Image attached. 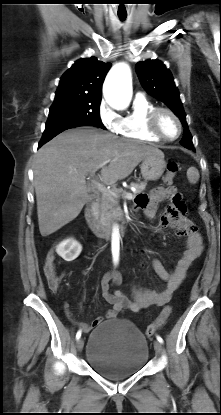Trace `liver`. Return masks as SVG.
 <instances>
[{
	"mask_svg": "<svg viewBox=\"0 0 221 415\" xmlns=\"http://www.w3.org/2000/svg\"><path fill=\"white\" fill-rule=\"evenodd\" d=\"M163 154L157 147L121 139L93 127L65 131L39 149L34 186L39 230L46 237L74 220L89 200L85 177L100 164L107 185L128 177L146 157ZM164 155V154H163Z\"/></svg>",
	"mask_w": 221,
	"mask_h": 415,
	"instance_id": "1",
	"label": "liver"
}]
</instances>
